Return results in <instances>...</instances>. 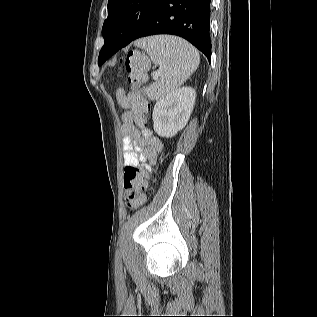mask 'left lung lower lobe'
<instances>
[{
  "label": "left lung lower lobe",
  "instance_id": "1",
  "mask_svg": "<svg viewBox=\"0 0 317 317\" xmlns=\"http://www.w3.org/2000/svg\"><path fill=\"white\" fill-rule=\"evenodd\" d=\"M209 24L210 0H163L133 40L156 34L177 35L192 43L210 61ZM128 44L106 41L105 58Z\"/></svg>",
  "mask_w": 317,
  "mask_h": 317
}]
</instances>
